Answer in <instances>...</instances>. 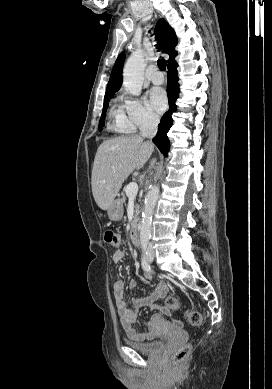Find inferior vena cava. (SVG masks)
<instances>
[{"label":"inferior vena cava","mask_w":272,"mask_h":389,"mask_svg":"<svg viewBox=\"0 0 272 389\" xmlns=\"http://www.w3.org/2000/svg\"><path fill=\"white\" fill-rule=\"evenodd\" d=\"M159 124V119L153 116H148L145 120L144 124L141 127V136L147 137L149 139H152L156 133H157V127ZM155 163V160L151 162V166H153ZM148 252H153L152 245L149 244L147 247Z\"/></svg>","instance_id":"obj_1"}]
</instances>
